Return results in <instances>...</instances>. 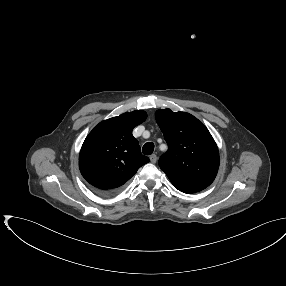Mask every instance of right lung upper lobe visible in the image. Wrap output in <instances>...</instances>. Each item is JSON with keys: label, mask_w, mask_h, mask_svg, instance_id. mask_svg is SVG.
<instances>
[{"label": "right lung upper lobe", "mask_w": 286, "mask_h": 286, "mask_svg": "<svg viewBox=\"0 0 286 286\" xmlns=\"http://www.w3.org/2000/svg\"><path fill=\"white\" fill-rule=\"evenodd\" d=\"M147 118L145 111L124 113L100 122L86 137L79 155L82 176L94 189L116 192L149 158L132 135Z\"/></svg>", "instance_id": "cb5924a9"}]
</instances>
